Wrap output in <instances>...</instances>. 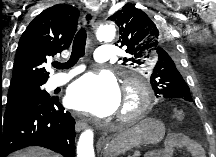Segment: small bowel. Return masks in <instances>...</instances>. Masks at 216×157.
<instances>
[{"instance_id": "obj_1", "label": "small bowel", "mask_w": 216, "mask_h": 157, "mask_svg": "<svg viewBox=\"0 0 216 157\" xmlns=\"http://www.w3.org/2000/svg\"><path fill=\"white\" fill-rule=\"evenodd\" d=\"M177 149H185L192 157H204L203 148L190 136L172 133L168 136L160 157H173Z\"/></svg>"}]
</instances>
